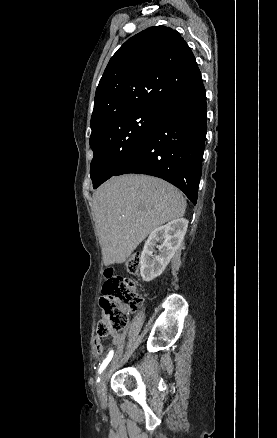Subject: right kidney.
<instances>
[{
  "label": "right kidney",
  "mask_w": 277,
  "mask_h": 438,
  "mask_svg": "<svg viewBox=\"0 0 277 438\" xmlns=\"http://www.w3.org/2000/svg\"><path fill=\"white\" fill-rule=\"evenodd\" d=\"M188 224L186 218H177V220H172V222H168L165 226H159L151 232L140 258V274L144 282H152L154 278L161 276L181 246Z\"/></svg>",
  "instance_id": "ca27d5eb"
}]
</instances>
